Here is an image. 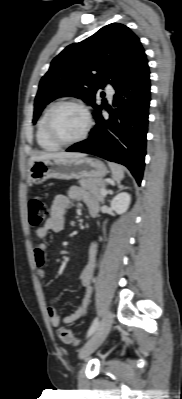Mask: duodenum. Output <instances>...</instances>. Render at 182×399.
I'll return each instance as SVG.
<instances>
[{
  "instance_id": "1",
  "label": "duodenum",
  "mask_w": 182,
  "mask_h": 399,
  "mask_svg": "<svg viewBox=\"0 0 182 399\" xmlns=\"http://www.w3.org/2000/svg\"><path fill=\"white\" fill-rule=\"evenodd\" d=\"M96 213H97L96 210H90V214H91L92 216L96 215Z\"/></svg>"
}]
</instances>
